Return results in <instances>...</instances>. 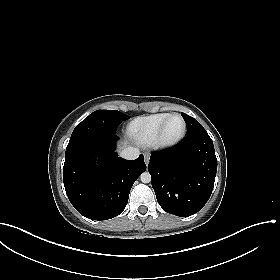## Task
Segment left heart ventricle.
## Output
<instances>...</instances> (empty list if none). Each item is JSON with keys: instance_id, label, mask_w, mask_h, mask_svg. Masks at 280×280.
<instances>
[{"instance_id": "b2bd125f", "label": "left heart ventricle", "mask_w": 280, "mask_h": 280, "mask_svg": "<svg viewBox=\"0 0 280 280\" xmlns=\"http://www.w3.org/2000/svg\"><path fill=\"white\" fill-rule=\"evenodd\" d=\"M183 129V122L179 117H173L167 124L165 130V139L170 140L177 137Z\"/></svg>"}]
</instances>
